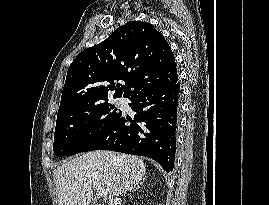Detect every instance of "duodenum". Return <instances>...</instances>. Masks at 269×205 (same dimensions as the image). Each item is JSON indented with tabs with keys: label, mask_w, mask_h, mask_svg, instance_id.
Here are the masks:
<instances>
[{
	"label": "duodenum",
	"mask_w": 269,
	"mask_h": 205,
	"mask_svg": "<svg viewBox=\"0 0 269 205\" xmlns=\"http://www.w3.org/2000/svg\"><path fill=\"white\" fill-rule=\"evenodd\" d=\"M92 205H102V204H98V203H97V204H92Z\"/></svg>",
	"instance_id": "duodenum-1"
}]
</instances>
